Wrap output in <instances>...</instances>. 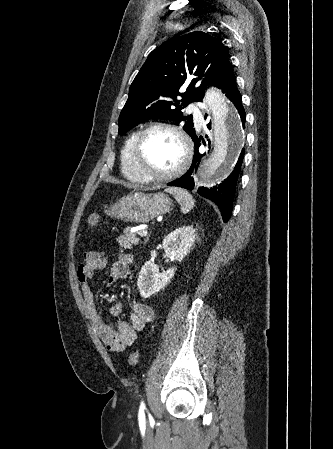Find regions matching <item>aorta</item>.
Returning <instances> with one entry per match:
<instances>
[{
	"instance_id": "obj_1",
	"label": "aorta",
	"mask_w": 333,
	"mask_h": 449,
	"mask_svg": "<svg viewBox=\"0 0 333 449\" xmlns=\"http://www.w3.org/2000/svg\"><path fill=\"white\" fill-rule=\"evenodd\" d=\"M205 102L213 116V151L200 160L196 179L212 186L220 173L230 167L242 144L237 112L230 99L220 90L211 89Z\"/></svg>"
}]
</instances>
